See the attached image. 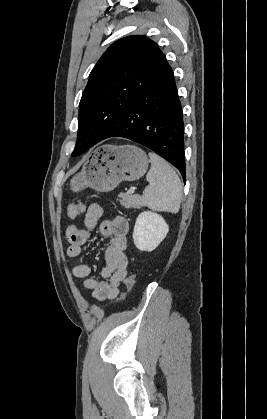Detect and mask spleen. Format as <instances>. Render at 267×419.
I'll list each match as a JSON object with an SVG mask.
<instances>
[{
	"label": "spleen",
	"mask_w": 267,
	"mask_h": 419,
	"mask_svg": "<svg viewBox=\"0 0 267 419\" xmlns=\"http://www.w3.org/2000/svg\"><path fill=\"white\" fill-rule=\"evenodd\" d=\"M151 168L146 179L150 183L143 192V203L152 210L176 214L182 201L181 181L163 158L149 152Z\"/></svg>",
	"instance_id": "1"
}]
</instances>
